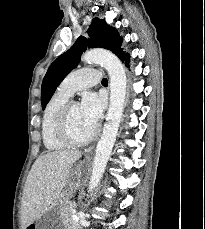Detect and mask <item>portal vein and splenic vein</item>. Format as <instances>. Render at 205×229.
<instances>
[{
  "label": "portal vein and splenic vein",
  "mask_w": 205,
  "mask_h": 229,
  "mask_svg": "<svg viewBox=\"0 0 205 229\" xmlns=\"http://www.w3.org/2000/svg\"><path fill=\"white\" fill-rule=\"evenodd\" d=\"M72 220L79 221V217L77 215H72Z\"/></svg>",
  "instance_id": "18ae733b"
}]
</instances>
